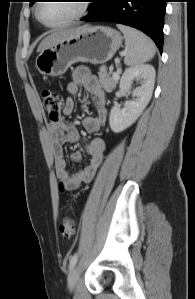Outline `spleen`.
<instances>
[{"instance_id": "spleen-1", "label": "spleen", "mask_w": 195, "mask_h": 299, "mask_svg": "<svg viewBox=\"0 0 195 299\" xmlns=\"http://www.w3.org/2000/svg\"><path fill=\"white\" fill-rule=\"evenodd\" d=\"M117 28L120 29L125 37V65L136 66L143 64L154 57L156 47L149 37L142 32L125 25L117 24Z\"/></svg>"}]
</instances>
